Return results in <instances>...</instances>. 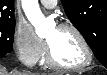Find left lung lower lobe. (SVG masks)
<instances>
[{
    "label": "left lung lower lobe",
    "instance_id": "left-lung-lower-lobe-1",
    "mask_svg": "<svg viewBox=\"0 0 107 75\" xmlns=\"http://www.w3.org/2000/svg\"><path fill=\"white\" fill-rule=\"evenodd\" d=\"M107 54V52L105 51V49L103 48H99V50L97 51L96 53V57L97 59L104 65V64H107L105 62V55Z\"/></svg>",
    "mask_w": 107,
    "mask_h": 75
}]
</instances>
